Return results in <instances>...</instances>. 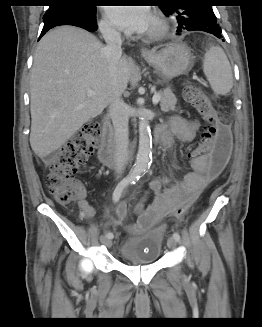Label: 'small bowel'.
I'll return each instance as SVG.
<instances>
[{"mask_svg": "<svg viewBox=\"0 0 262 327\" xmlns=\"http://www.w3.org/2000/svg\"><path fill=\"white\" fill-rule=\"evenodd\" d=\"M200 129L198 121H189L182 117H175L169 126H160L156 129V137L164 149L170 150L175 141L180 143L192 142ZM189 160L193 162L192 170L180 179H175L173 173L162 179H154L149 182L148 193H154L155 198L148 208H145L144 201L135 206V213L138 216L136 223L131 225L133 232H141L152 228L159 220L167 217L170 209H177L180 203L190 200L191 203L204 189L212 177L208 172L209 157L203 153H189ZM173 167L176 160L173 158ZM77 205L83 218H91L94 210L88 204L85 194L78 199Z\"/></svg>", "mask_w": 262, "mask_h": 327, "instance_id": "small-bowel-1", "label": "small bowel"}]
</instances>
